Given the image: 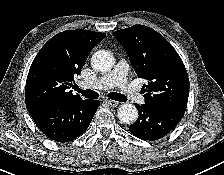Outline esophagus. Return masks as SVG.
<instances>
[{
    "label": "esophagus",
    "instance_id": "1",
    "mask_svg": "<svg viewBox=\"0 0 224 175\" xmlns=\"http://www.w3.org/2000/svg\"><path fill=\"white\" fill-rule=\"evenodd\" d=\"M105 102L111 107H117L119 105L118 101L106 99Z\"/></svg>",
    "mask_w": 224,
    "mask_h": 175
}]
</instances>
